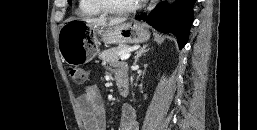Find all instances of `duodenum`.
<instances>
[{
	"label": "duodenum",
	"mask_w": 257,
	"mask_h": 130,
	"mask_svg": "<svg viewBox=\"0 0 257 130\" xmlns=\"http://www.w3.org/2000/svg\"><path fill=\"white\" fill-rule=\"evenodd\" d=\"M117 87H118V91L120 93V95L122 97H126L129 93V86H128V80H119L117 81Z\"/></svg>",
	"instance_id": "duodenum-1"
}]
</instances>
